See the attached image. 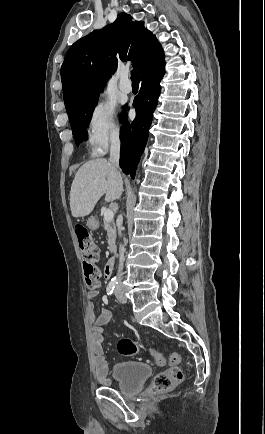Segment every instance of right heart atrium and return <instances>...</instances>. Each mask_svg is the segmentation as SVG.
<instances>
[{
  "instance_id": "obj_1",
  "label": "right heart atrium",
  "mask_w": 265,
  "mask_h": 434,
  "mask_svg": "<svg viewBox=\"0 0 265 434\" xmlns=\"http://www.w3.org/2000/svg\"><path fill=\"white\" fill-rule=\"evenodd\" d=\"M118 103L111 101L109 106H98L93 108V113L87 119L86 143L89 145L87 151L95 159L104 157L109 148H124L126 142L122 137V121L119 118ZM114 131V132H110Z\"/></svg>"
}]
</instances>
